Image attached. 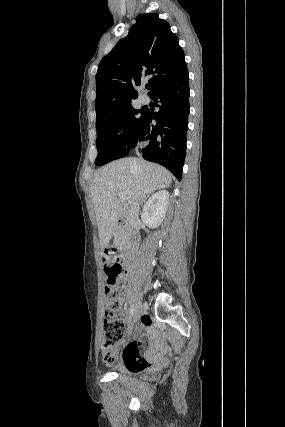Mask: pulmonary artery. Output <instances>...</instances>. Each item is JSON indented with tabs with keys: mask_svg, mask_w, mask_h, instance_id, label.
I'll return each mask as SVG.
<instances>
[{
	"mask_svg": "<svg viewBox=\"0 0 285 427\" xmlns=\"http://www.w3.org/2000/svg\"><path fill=\"white\" fill-rule=\"evenodd\" d=\"M140 101L145 104L148 102V96L146 94H141L140 95Z\"/></svg>",
	"mask_w": 285,
	"mask_h": 427,
	"instance_id": "obj_1",
	"label": "pulmonary artery"
}]
</instances>
